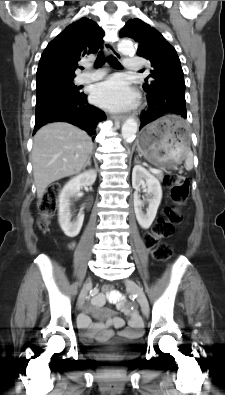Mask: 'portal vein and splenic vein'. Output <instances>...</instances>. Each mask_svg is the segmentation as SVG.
<instances>
[{"mask_svg": "<svg viewBox=\"0 0 225 395\" xmlns=\"http://www.w3.org/2000/svg\"><path fill=\"white\" fill-rule=\"evenodd\" d=\"M150 171H151L152 173H154V174L160 173V170L154 169V168H151Z\"/></svg>", "mask_w": 225, "mask_h": 395, "instance_id": "18ae733b", "label": "portal vein and splenic vein"}]
</instances>
